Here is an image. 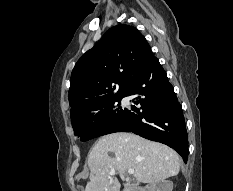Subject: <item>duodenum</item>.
<instances>
[{"label": "duodenum", "instance_id": "1", "mask_svg": "<svg viewBox=\"0 0 233 191\" xmlns=\"http://www.w3.org/2000/svg\"><path fill=\"white\" fill-rule=\"evenodd\" d=\"M128 191H141V189L137 188V187H132V188L128 189Z\"/></svg>", "mask_w": 233, "mask_h": 191}]
</instances>
